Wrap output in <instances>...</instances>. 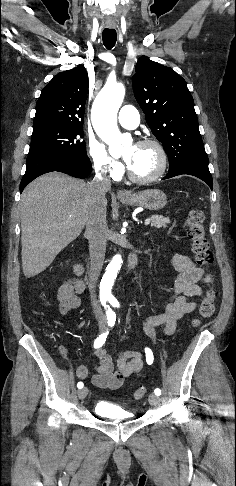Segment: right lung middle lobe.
<instances>
[{"label": "right lung middle lobe", "instance_id": "right-lung-middle-lobe-1", "mask_svg": "<svg viewBox=\"0 0 236 486\" xmlns=\"http://www.w3.org/2000/svg\"><path fill=\"white\" fill-rule=\"evenodd\" d=\"M82 126L42 125L33 127L28 155L50 153L87 157Z\"/></svg>", "mask_w": 236, "mask_h": 486}]
</instances>
